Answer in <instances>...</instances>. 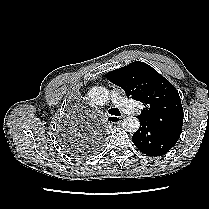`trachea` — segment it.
Here are the masks:
<instances>
[{"label": "trachea", "instance_id": "3493384b", "mask_svg": "<svg viewBox=\"0 0 209 209\" xmlns=\"http://www.w3.org/2000/svg\"><path fill=\"white\" fill-rule=\"evenodd\" d=\"M108 113L114 116H121V112L117 108L109 109Z\"/></svg>", "mask_w": 209, "mask_h": 209}]
</instances>
